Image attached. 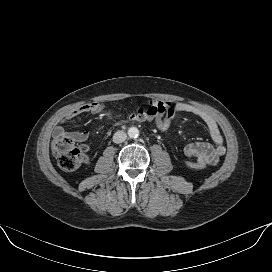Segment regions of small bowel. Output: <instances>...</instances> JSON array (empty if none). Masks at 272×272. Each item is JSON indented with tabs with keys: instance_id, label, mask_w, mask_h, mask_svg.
<instances>
[{
	"instance_id": "1",
	"label": "small bowel",
	"mask_w": 272,
	"mask_h": 272,
	"mask_svg": "<svg viewBox=\"0 0 272 272\" xmlns=\"http://www.w3.org/2000/svg\"><path fill=\"white\" fill-rule=\"evenodd\" d=\"M173 106L177 112L190 113L199 117L206 125L213 142V144L203 142L189 143L184 148L185 155L205 165H216L226 152L223 135L216 120L207 112L189 103L177 102ZM168 107H172V104L168 101H152L146 106L141 107L137 112L129 114L128 120L133 122H149L146 118L148 114L151 112H163ZM103 109L104 106L100 102H91L69 112L56 126L54 130L55 136L67 135L76 142H86L89 138L88 132L68 133L65 131L63 124L72 121L80 115L100 113Z\"/></svg>"
}]
</instances>
